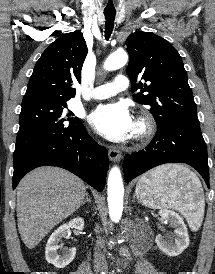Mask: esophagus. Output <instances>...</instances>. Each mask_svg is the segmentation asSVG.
Returning <instances> with one entry per match:
<instances>
[{
    "mask_svg": "<svg viewBox=\"0 0 215 274\" xmlns=\"http://www.w3.org/2000/svg\"><path fill=\"white\" fill-rule=\"evenodd\" d=\"M109 159L113 162H118L122 158L121 152L116 148H110L108 151Z\"/></svg>",
    "mask_w": 215,
    "mask_h": 274,
    "instance_id": "34e87169",
    "label": "esophagus"
}]
</instances>
